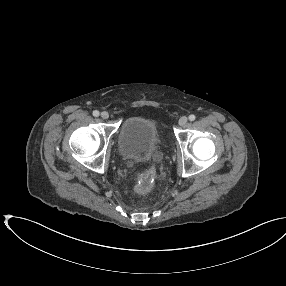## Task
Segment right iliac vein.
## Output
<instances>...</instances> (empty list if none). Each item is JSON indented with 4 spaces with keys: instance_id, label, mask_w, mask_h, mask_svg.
I'll use <instances>...</instances> for the list:
<instances>
[{
    "instance_id": "obj_1",
    "label": "right iliac vein",
    "mask_w": 286,
    "mask_h": 286,
    "mask_svg": "<svg viewBox=\"0 0 286 286\" xmlns=\"http://www.w3.org/2000/svg\"><path fill=\"white\" fill-rule=\"evenodd\" d=\"M101 117H102L103 119H108V118H109V113H108L107 111H103V112L101 113Z\"/></svg>"
}]
</instances>
